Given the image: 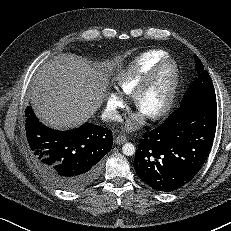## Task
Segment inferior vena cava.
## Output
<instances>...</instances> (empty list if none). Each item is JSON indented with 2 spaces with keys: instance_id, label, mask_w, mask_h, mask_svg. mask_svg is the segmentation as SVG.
<instances>
[{
  "instance_id": "obj_1",
  "label": "inferior vena cava",
  "mask_w": 231,
  "mask_h": 231,
  "mask_svg": "<svg viewBox=\"0 0 231 231\" xmlns=\"http://www.w3.org/2000/svg\"><path fill=\"white\" fill-rule=\"evenodd\" d=\"M121 116L119 115L118 111H110V112H103L102 120L104 121H120Z\"/></svg>"
}]
</instances>
